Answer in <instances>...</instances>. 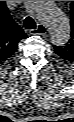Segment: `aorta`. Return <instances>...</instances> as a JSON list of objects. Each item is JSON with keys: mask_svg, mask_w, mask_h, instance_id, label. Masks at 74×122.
I'll return each mask as SVG.
<instances>
[{"mask_svg": "<svg viewBox=\"0 0 74 122\" xmlns=\"http://www.w3.org/2000/svg\"><path fill=\"white\" fill-rule=\"evenodd\" d=\"M26 9L46 25L50 42L53 45L67 44L71 34L69 19L54 1H26Z\"/></svg>", "mask_w": 74, "mask_h": 122, "instance_id": "762f6f07", "label": "aorta"}]
</instances>
